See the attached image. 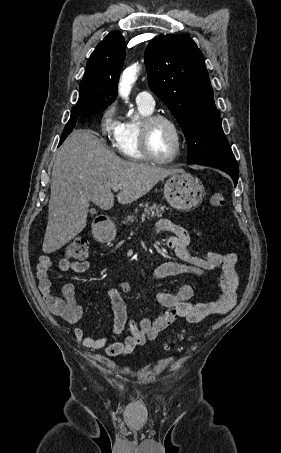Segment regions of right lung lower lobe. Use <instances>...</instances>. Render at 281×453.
Masks as SVG:
<instances>
[{
	"label": "right lung lower lobe",
	"mask_w": 281,
	"mask_h": 453,
	"mask_svg": "<svg viewBox=\"0 0 281 453\" xmlns=\"http://www.w3.org/2000/svg\"><path fill=\"white\" fill-rule=\"evenodd\" d=\"M99 112L100 111L95 110L92 107H83V108H75V109L72 108L70 120L68 121L67 125L65 126V129L63 131V134H62V137H61V140H60L58 146H60L62 144V142L66 139V137L72 132L73 128L75 127L77 118L79 116L88 117V116L97 114Z\"/></svg>",
	"instance_id": "right-lung-lower-lobe-1"
}]
</instances>
